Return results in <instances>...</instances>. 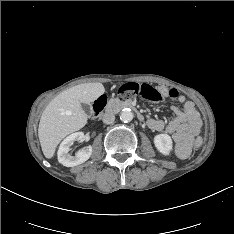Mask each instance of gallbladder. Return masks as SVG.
<instances>
[{
	"mask_svg": "<svg viewBox=\"0 0 234 234\" xmlns=\"http://www.w3.org/2000/svg\"><path fill=\"white\" fill-rule=\"evenodd\" d=\"M81 106H82L83 110L85 111V113L90 114L92 112L90 105L83 103V104H81Z\"/></svg>",
	"mask_w": 234,
	"mask_h": 234,
	"instance_id": "1",
	"label": "gallbladder"
}]
</instances>
